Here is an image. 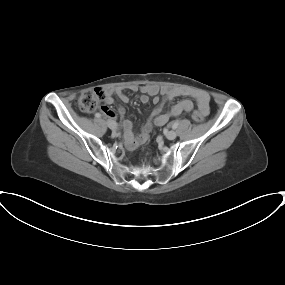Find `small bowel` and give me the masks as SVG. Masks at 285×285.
I'll use <instances>...</instances> for the list:
<instances>
[{
    "mask_svg": "<svg viewBox=\"0 0 285 285\" xmlns=\"http://www.w3.org/2000/svg\"><path fill=\"white\" fill-rule=\"evenodd\" d=\"M130 90L138 91L142 93L140 96V101L143 104L148 103L149 98L153 97V102L155 104V108L152 112L151 117L142 127V130L139 134H134L133 123L129 119H123L121 122L123 137L127 147L135 148L144 143L149 133L152 130V124L162 126L165 125L172 117L179 116L183 113L190 112L193 109V102L190 99H183L179 101L177 104L172 106L170 110L165 113H161V103L162 100L171 101L175 97L179 96V91L170 88H162L160 89L156 85H143V86H130ZM104 101L107 105L116 104L117 97L121 102L127 103L129 101V97L125 94L122 87H108L104 89ZM159 93L162 95V99L158 96ZM194 98L195 103L198 109L204 114L207 115L210 111V99L209 96L205 93L199 92L191 94ZM102 113L109 119L113 120L116 118V113L110 109L108 106H103L101 109ZM118 114L123 117L125 114V108L122 105H118L117 108Z\"/></svg>",
    "mask_w": 285,
    "mask_h": 285,
    "instance_id": "1",
    "label": "small bowel"
}]
</instances>
